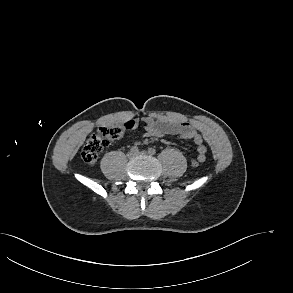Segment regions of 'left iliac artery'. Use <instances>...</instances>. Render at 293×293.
<instances>
[{"mask_svg": "<svg viewBox=\"0 0 293 293\" xmlns=\"http://www.w3.org/2000/svg\"><path fill=\"white\" fill-rule=\"evenodd\" d=\"M148 153H149L150 155H155V154H156V150H155L154 148H149V149H148Z\"/></svg>", "mask_w": 293, "mask_h": 293, "instance_id": "44dca946", "label": "left iliac artery"}]
</instances>
